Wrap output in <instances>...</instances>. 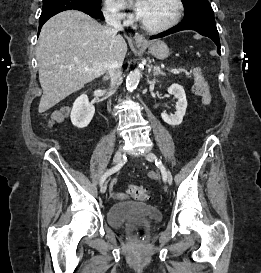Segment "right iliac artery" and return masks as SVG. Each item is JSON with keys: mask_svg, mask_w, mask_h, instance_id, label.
<instances>
[{"mask_svg": "<svg viewBox=\"0 0 261 273\" xmlns=\"http://www.w3.org/2000/svg\"><path fill=\"white\" fill-rule=\"evenodd\" d=\"M123 163L120 162L118 165H116L115 167L107 170L101 177L100 179V186L104 183V181L107 179L108 176H110L111 174L117 172L121 167H122Z\"/></svg>", "mask_w": 261, "mask_h": 273, "instance_id": "1", "label": "right iliac artery"}]
</instances>
